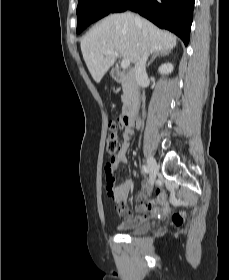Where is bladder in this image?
Instances as JSON below:
<instances>
[{
	"mask_svg": "<svg viewBox=\"0 0 229 280\" xmlns=\"http://www.w3.org/2000/svg\"><path fill=\"white\" fill-rule=\"evenodd\" d=\"M152 227V221L150 219L140 220L135 226L126 230L127 234L140 235L147 233Z\"/></svg>",
	"mask_w": 229,
	"mask_h": 280,
	"instance_id": "31cf9c89",
	"label": "bladder"
}]
</instances>
